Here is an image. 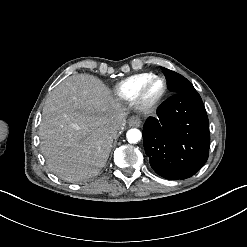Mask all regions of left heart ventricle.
Returning a JSON list of instances; mask_svg holds the SVG:
<instances>
[{
    "label": "left heart ventricle",
    "mask_w": 247,
    "mask_h": 247,
    "mask_svg": "<svg viewBox=\"0 0 247 247\" xmlns=\"http://www.w3.org/2000/svg\"><path fill=\"white\" fill-rule=\"evenodd\" d=\"M163 88H164V84L162 81L154 82L148 87L146 91V98L148 100H152L156 98L163 91Z\"/></svg>",
    "instance_id": "left-heart-ventricle-1"
}]
</instances>
